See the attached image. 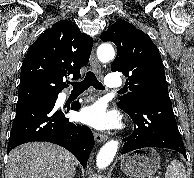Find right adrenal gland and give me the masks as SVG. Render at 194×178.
<instances>
[{
  "label": "right adrenal gland",
  "instance_id": "obj_1",
  "mask_svg": "<svg viewBox=\"0 0 194 178\" xmlns=\"http://www.w3.org/2000/svg\"><path fill=\"white\" fill-rule=\"evenodd\" d=\"M74 176H75V173L73 175H71L69 178H74Z\"/></svg>",
  "mask_w": 194,
  "mask_h": 178
}]
</instances>
